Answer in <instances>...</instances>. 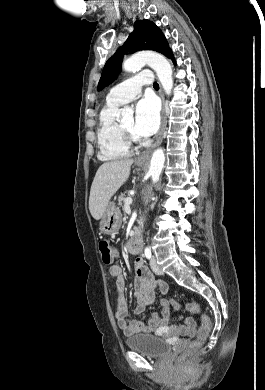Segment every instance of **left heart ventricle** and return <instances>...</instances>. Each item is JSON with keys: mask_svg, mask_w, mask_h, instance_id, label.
Masks as SVG:
<instances>
[{"mask_svg": "<svg viewBox=\"0 0 265 390\" xmlns=\"http://www.w3.org/2000/svg\"><path fill=\"white\" fill-rule=\"evenodd\" d=\"M125 129L130 131L131 133L134 134V120L133 118L128 119L126 122L122 124Z\"/></svg>", "mask_w": 265, "mask_h": 390, "instance_id": "1", "label": "left heart ventricle"}]
</instances>
